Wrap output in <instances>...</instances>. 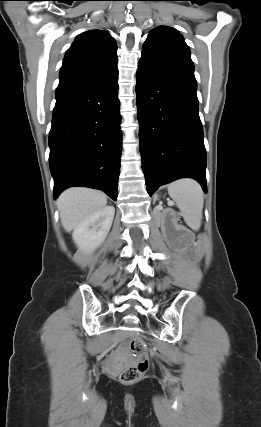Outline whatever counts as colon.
Here are the masks:
<instances>
[{"label": "colon", "instance_id": "obj_1", "mask_svg": "<svg viewBox=\"0 0 261 427\" xmlns=\"http://www.w3.org/2000/svg\"><path fill=\"white\" fill-rule=\"evenodd\" d=\"M131 352L136 360L135 365L126 368L120 374L121 382L131 384L137 382L149 368L148 349L142 338H134L130 342Z\"/></svg>", "mask_w": 261, "mask_h": 427}]
</instances>
